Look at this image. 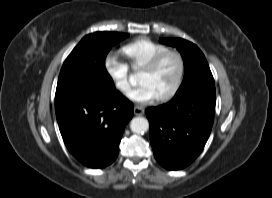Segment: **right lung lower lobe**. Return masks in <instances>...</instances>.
Masks as SVG:
<instances>
[{"instance_id": "right-lung-lower-lobe-1", "label": "right lung lower lobe", "mask_w": 272, "mask_h": 198, "mask_svg": "<svg viewBox=\"0 0 272 198\" xmlns=\"http://www.w3.org/2000/svg\"><path fill=\"white\" fill-rule=\"evenodd\" d=\"M57 122L64 143L83 165L103 168L118 155L133 104L116 89L79 92L55 100Z\"/></svg>"}]
</instances>
